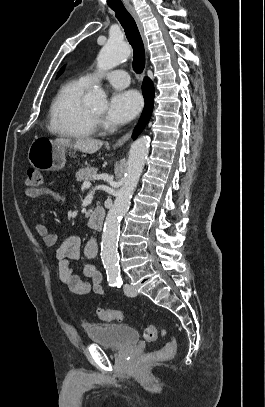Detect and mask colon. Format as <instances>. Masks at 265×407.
Segmentation results:
<instances>
[{"label": "colon", "instance_id": "colon-1", "mask_svg": "<svg viewBox=\"0 0 265 407\" xmlns=\"http://www.w3.org/2000/svg\"><path fill=\"white\" fill-rule=\"evenodd\" d=\"M42 184L43 177L41 172L37 169L29 168L26 173V185L30 188H39ZM97 314L104 321H123L126 317L123 311L114 309H98ZM143 337L149 341H154L161 337L168 338V340L160 349L144 355L142 362L163 361L175 355L177 349L176 340L165 328L159 325H147L143 328Z\"/></svg>", "mask_w": 265, "mask_h": 407}]
</instances>
